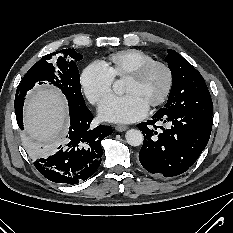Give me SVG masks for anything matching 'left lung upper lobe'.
Here are the masks:
<instances>
[{"label":"left lung upper lobe","mask_w":233,"mask_h":233,"mask_svg":"<svg viewBox=\"0 0 233 233\" xmlns=\"http://www.w3.org/2000/svg\"><path fill=\"white\" fill-rule=\"evenodd\" d=\"M166 61L173 81L168 101L163 108L189 110L212 116L213 104L202 75L173 50H168Z\"/></svg>","instance_id":"5c2ea615"}]
</instances>
